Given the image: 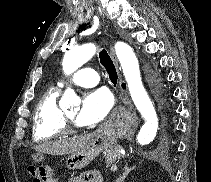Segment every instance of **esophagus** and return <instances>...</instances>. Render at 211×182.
<instances>
[{"label":"esophagus","instance_id":"esophagus-1","mask_svg":"<svg viewBox=\"0 0 211 182\" xmlns=\"http://www.w3.org/2000/svg\"><path fill=\"white\" fill-rule=\"evenodd\" d=\"M110 54H111V57H112V59H113V62H114V64H115V66H116V69H117V72H118V74H119V69H118V61H117V58H116V56H115V53H114V49H113V47L111 46L110 47ZM123 100H126V98L124 97V96H120ZM108 121L106 122V127H107V125H108Z\"/></svg>","mask_w":211,"mask_h":182}]
</instances>
